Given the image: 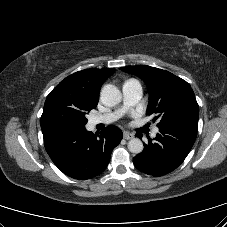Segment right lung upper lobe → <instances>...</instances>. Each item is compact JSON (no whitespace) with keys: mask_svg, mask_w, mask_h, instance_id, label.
Returning a JSON list of instances; mask_svg holds the SVG:
<instances>
[{"mask_svg":"<svg viewBox=\"0 0 227 227\" xmlns=\"http://www.w3.org/2000/svg\"><path fill=\"white\" fill-rule=\"evenodd\" d=\"M114 72L115 69H85L66 77L55 88L97 106L101 85Z\"/></svg>","mask_w":227,"mask_h":227,"instance_id":"1","label":"right lung upper lobe"}]
</instances>
